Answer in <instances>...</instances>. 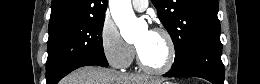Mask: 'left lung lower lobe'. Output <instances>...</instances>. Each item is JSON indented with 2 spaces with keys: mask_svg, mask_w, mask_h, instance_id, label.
<instances>
[{
  "mask_svg": "<svg viewBox=\"0 0 260 84\" xmlns=\"http://www.w3.org/2000/svg\"><path fill=\"white\" fill-rule=\"evenodd\" d=\"M221 42H211L195 48L179 65L172 66L165 77L204 78L213 84H224Z\"/></svg>",
  "mask_w": 260,
  "mask_h": 84,
  "instance_id": "left-lung-lower-lobe-1",
  "label": "left lung lower lobe"
}]
</instances>
